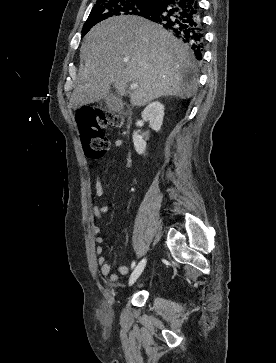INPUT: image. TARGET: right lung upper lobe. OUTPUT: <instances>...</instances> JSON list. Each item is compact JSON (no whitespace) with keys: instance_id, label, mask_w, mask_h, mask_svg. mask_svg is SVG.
<instances>
[{"instance_id":"cb5924a9","label":"right lung upper lobe","mask_w":276,"mask_h":363,"mask_svg":"<svg viewBox=\"0 0 276 363\" xmlns=\"http://www.w3.org/2000/svg\"><path fill=\"white\" fill-rule=\"evenodd\" d=\"M147 1H151V2H153L154 4H157L160 0H147Z\"/></svg>"}]
</instances>
